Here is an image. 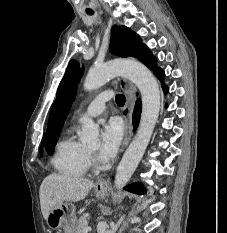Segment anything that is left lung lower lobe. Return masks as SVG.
I'll return each instance as SVG.
<instances>
[{
    "mask_svg": "<svg viewBox=\"0 0 227 233\" xmlns=\"http://www.w3.org/2000/svg\"><path fill=\"white\" fill-rule=\"evenodd\" d=\"M155 75L161 81L164 93L165 94L168 93V87L164 84V81H163L165 77L164 71L160 69ZM124 189L130 192H133V193H137V194H144L146 192L143 186L139 183L128 185Z\"/></svg>",
    "mask_w": 227,
    "mask_h": 233,
    "instance_id": "1",
    "label": "left lung lower lobe"
}]
</instances>
